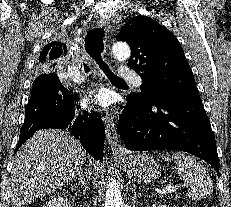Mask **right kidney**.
Instances as JSON below:
<instances>
[{"label": "right kidney", "instance_id": "ca27d5eb", "mask_svg": "<svg viewBox=\"0 0 231 207\" xmlns=\"http://www.w3.org/2000/svg\"><path fill=\"white\" fill-rule=\"evenodd\" d=\"M73 204L67 197L58 195L47 201L43 207H71Z\"/></svg>", "mask_w": 231, "mask_h": 207}]
</instances>
